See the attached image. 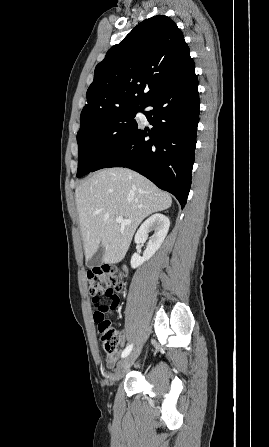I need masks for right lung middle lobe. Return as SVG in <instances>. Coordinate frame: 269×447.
<instances>
[{
	"mask_svg": "<svg viewBox=\"0 0 269 447\" xmlns=\"http://www.w3.org/2000/svg\"><path fill=\"white\" fill-rule=\"evenodd\" d=\"M144 104L106 112L80 126L77 133V177L91 172L95 166L137 129L134 119Z\"/></svg>",
	"mask_w": 269,
	"mask_h": 447,
	"instance_id": "obj_1",
	"label": "right lung middle lobe"
}]
</instances>
